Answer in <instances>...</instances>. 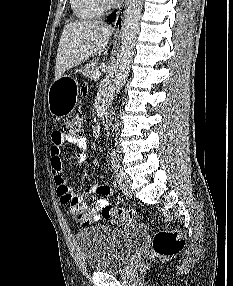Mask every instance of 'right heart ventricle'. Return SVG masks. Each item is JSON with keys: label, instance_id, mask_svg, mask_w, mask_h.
Instances as JSON below:
<instances>
[{"label": "right heart ventricle", "instance_id": "e07e8e85", "mask_svg": "<svg viewBox=\"0 0 233 286\" xmlns=\"http://www.w3.org/2000/svg\"><path fill=\"white\" fill-rule=\"evenodd\" d=\"M71 8L80 20H94L102 14L97 0H70Z\"/></svg>", "mask_w": 233, "mask_h": 286}]
</instances>
